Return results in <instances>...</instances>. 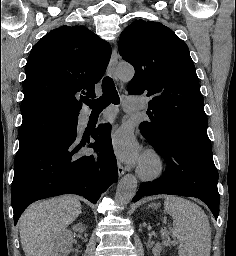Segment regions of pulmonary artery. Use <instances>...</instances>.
Returning a JSON list of instances; mask_svg holds the SVG:
<instances>
[{"label": "pulmonary artery", "mask_w": 236, "mask_h": 256, "mask_svg": "<svg viewBox=\"0 0 236 256\" xmlns=\"http://www.w3.org/2000/svg\"><path fill=\"white\" fill-rule=\"evenodd\" d=\"M142 96H126V109L128 112H131L132 109H140L141 108Z\"/></svg>", "instance_id": "obj_1"}]
</instances>
